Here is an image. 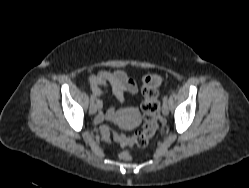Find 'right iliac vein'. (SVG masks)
I'll return each instance as SVG.
<instances>
[{"mask_svg": "<svg viewBox=\"0 0 249 188\" xmlns=\"http://www.w3.org/2000/svg\"><path fill=\"white\" fill-rule=\"evenodd\" d=\"M96 111H97V104L93 101V102H91V104H90L89 113H90L91 115H93V114L96 113Z\"/></svg>", "mask_w": 249, "mask_h": 188, "instance_id": "right-iliac-vein-1", "label": "right iliac vein"}]
</instances>
